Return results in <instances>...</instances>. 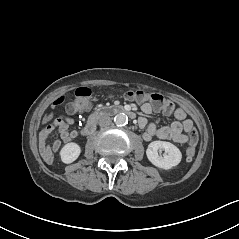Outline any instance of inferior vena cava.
<instances>
[{
  "label": "inferior vena cava",
  "mask_w": 239,
  "mask_h": 239,
  "mask_svg": "<svg viewBox=\"0 0 239 239\" xmlns=\"http://www.w3.org/2000/svg\"><path fill=\"white\" fill-rule=\"evenodd\" d=\"M112 122V119L110 116H107V115H104V116H101L98 120V124L101 126V127H107L111 124Z\"/></svg>",
  "instance_id": "1"
}]
</instances>
